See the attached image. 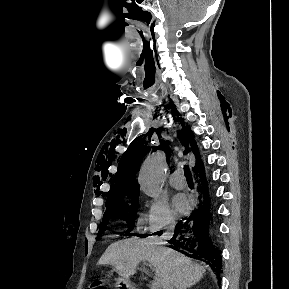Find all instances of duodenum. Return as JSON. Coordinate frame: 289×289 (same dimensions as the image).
<instances>
[{
  "label": "duodenum",
  "instance_id": "410a0bca",
  "mask_svg": "<svg viewBox=\"0 0 289 289\" xmlns=\"http://www.w3.org/2000/svg\"><path fill=\"white\" fill-rule=\"evenodd\" d=\"M129 289H137V288L134 286H130Z\"/></svg>",
  "mask_w": 289,
  "mask_h": 289
}]
</instances>
